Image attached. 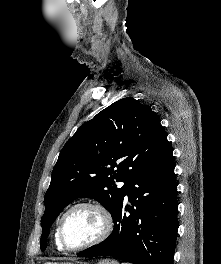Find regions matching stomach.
I'll return each instance as SVG.
<instances>
[{
    "mask_svg": "<svg viewBox=\"0 0 221 264\" xmlns=\"http://www.w3.org/2000/svg\"><path fill=\"white\" fill-rule=\"evenodd\" d=\"M43 264H73V263H58V262H51V261H46ZM97 264H119L117 261L112 260V259H103L99 261Z\"/></svg>",
    "mask_w": 221,
    "mask_h": 264,
    "instance_id": "1",
    "label": "stomach"
}]
</instances>
